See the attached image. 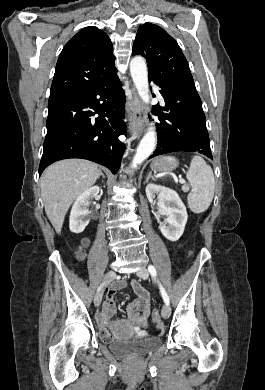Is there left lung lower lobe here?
I'll use <instances>...</instances> for the list:
<instances>
[{"instance_id":"1","label":"left lung lower lobe","mask_w":265,"mask_h":390,"mask_svg":"<svg viewBox=\"0 0 265 390\" xmlns=\"http://www.w3.org/2000/svg\"><path fill=\"white\" fill-rule=\"evenodd\" d=\"M153 82L161 88L159 92L165 100L163 110L167 113H159L160 106L154 107L160 121L156 124L158 145L149 158L172 152L190 151L213 159L205 114L195 84Z\"/></svg>"}]
</instances>
